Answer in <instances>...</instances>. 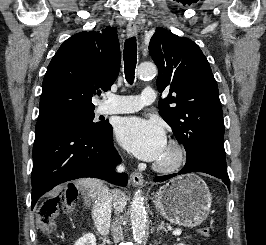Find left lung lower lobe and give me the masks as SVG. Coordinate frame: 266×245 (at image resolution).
<instances>
[{"label":"left lung lower lobe","instance_id":"0a47b994","mask_svg":"<svg viewBox=\"0 0 266 245\" xmlns=\"http://www.w3.org/2000/svg\"><path fill=\"white\" fill-rule=\"evenodd\" d=\"M226 171V155L217 148L206 147L192 160L187 161L178 173L156 177L154 182L165 181L179 174L203 172L222 179L230 189V180Z\"/></svg>","mask_w":266,"mask_h":245}]
</instances>
